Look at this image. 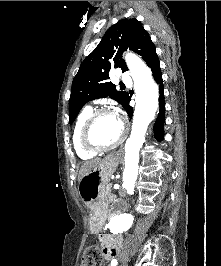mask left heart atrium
<instances>
[{
    "mask_svg": "<svg viewBox=\"0 0 221 266\" xmlns=\"http://www.w3.org/2000/svg\"><path fill=\"white\" fill-rule=\"evenodd\" d=\"M118 119H119V117H118V115L117 114H114Z\"/></svg>",
    "mask_w": 221,
    "mask_h": 266,
    "instance_id": "left-heart-atrium-1",
    "label": "left heart atrium"
}]
</instances>
